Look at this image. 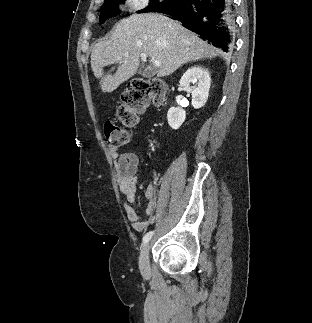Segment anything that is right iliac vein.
Here are the masks:
<instances>
[{
    "instance_id": "1",
    "label": "right iliac vein",
    "mask_w": 312,
    "mask_h": 323,
    "mask_svg": "<svg viewBox=\"0 0 312 323\" xmlns=\"http://www.w3.org/2000/svg\"><path fill=\"white\" fill-rule=\"evenodd\" d=\"M139 268L143 275L148 274L149 272V242L146 243L139 257Z\"/></svg>"
}]
</instances>
